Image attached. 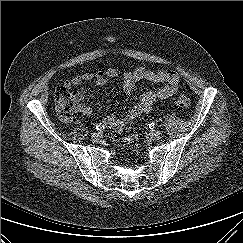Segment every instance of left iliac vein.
<instances>
[{"instance_id":"1","label":"left iliac vein","mask_w":243,"mask_h":243,"mask_svg":"<svg viewBox=\"0 0 243 243\" xmlns=\"http://www.w3.org/2000/svg\"><path fill=\"white\" fill-rule=\"evenodd\" d=\"M149 135L153 140H159L161 138V132L158 130H152Z\"/></svg>"}]
</instances>
